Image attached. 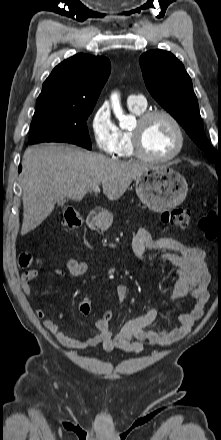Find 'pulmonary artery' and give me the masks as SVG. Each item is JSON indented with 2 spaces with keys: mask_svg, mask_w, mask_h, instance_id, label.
I'll return each instance as SVG.
<instances>
[{
  "mask_svg": "<svg viewBox=\"0 0 221 440\" xmlns=\"http://www.w3.org/2000/svg\"><path fill=\"white\" fill-rule=\"evenodd\" d=\"M128 104L131 105H139V106H145L146 105V99L142 95H130L127 98Z\"/></svg>",
  "mask_w": 221,
  "mask_h": 440,
  "instance_id": "pulmonary-artery-1",
  "label": "pulmonary artery"
}]
</instances>
